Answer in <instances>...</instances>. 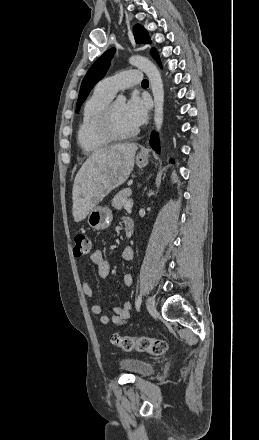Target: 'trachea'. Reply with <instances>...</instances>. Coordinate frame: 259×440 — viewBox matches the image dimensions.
Masks as SVG:
<instances>
[{"instance_id":"trachea-1","label":"trachea","mask_w":259,"mask_h":440,"mask_svg":"<svg viewBox=\"0 0 259 440\" xmlns=\"http://www.w3.org/2000/svg\"><path fill=\"white\" fill-rule=\"evenodd\" d=\"M148 84H149L148 80L145 79L142 81V85H148Z\"/></svg>"}]
</instances>
